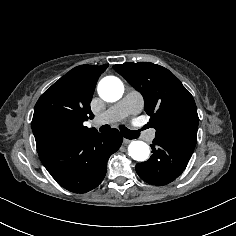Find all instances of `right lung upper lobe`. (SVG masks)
<instances>
[{
    "label": "right lung upper lobe",
    "mask_w": 236,
    "mask_h": 236,
    "mask_svg": "<svg viewBox=\"0 0 236 236\" xmlns=\"http://www.w3.org/2000/svg\"><path fill=\"white\" fill-rule=\"evenodd\" d=\"M107 67L77 66L41 95L31 124L38 152L62 140L97 132L83 123L94 117L90 102L97 80Z\"/></svg>",
    "instance_id": "cb5924a9"
}]
</instances>
